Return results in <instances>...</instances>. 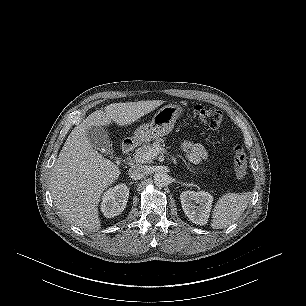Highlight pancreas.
Wrapping results in <instances>:
<instances>
[{"label":"pancreas","mask_w":306,"mask_h":306,"mask_svg":"<svg viewBox=\"0 0 306 306\" xmlns=\"http://www.w3.org/2000/svg\"><path fill=\"white\" fill-rule=\"evenodd\" d=\"M164 142V139L163 138H157V139H155L154 140V142L153 143H149V144H147V145H142L141 147H139L137 150H136V152H135V155H134V157H135V160L137 161V162H141V163H148V162H150V160H144L143 158H142V156H143V154L144 153H146L149 149H151V148H156V147H161V143H163Z\"/></svg>","instance_id":"1"}]
</instances>
